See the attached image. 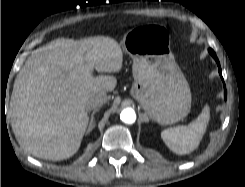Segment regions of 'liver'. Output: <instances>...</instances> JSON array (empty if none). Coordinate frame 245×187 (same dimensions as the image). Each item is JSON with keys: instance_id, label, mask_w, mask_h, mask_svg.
<instances>
[{"instance_id": "6515ba94", "label": "liver", "mask_w": 245, "mask_h": 187, "mask_svg": "<svg viewBox=\"0 0 245 187\" xmlns=\"http://www.w3.org/2000/svg\"><path fill=\"white\" fill-rule=\"evenodd\" d=\"M123 53L118 42L97 36L55 39L34 50L18 73L10 100L12 130L21 147L35 157L59 161L73 156L86 132V103L99 91L111 92Z\"/></svg>"}]
</instances>
